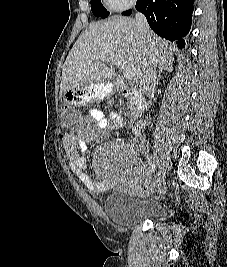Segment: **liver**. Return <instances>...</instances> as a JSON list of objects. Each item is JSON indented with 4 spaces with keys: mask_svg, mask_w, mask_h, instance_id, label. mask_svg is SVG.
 Listing matches in <instances>:
<instances>
[{
    "mask_svg": "<svg viewBox=\"0 0 227 267\" xmlns=\"http://www.w3.org/2000/svg\"><path fill=\"white\" fill-rule=\"evenodd\" d=\"M106 58L101 60L100 58ZM157 67L173 61L169 42L150 31L141 38L135 20L113 16L108 21L91 23L69 52L62 68L61 91L109 82L115 75V61H124L140 82L148 61Z\"/></svg>",
    "mask_w": 227,
    "mask_h": 267,
    "instance_id": "obj_1",
    "label": "liver"
}]
</instances>
